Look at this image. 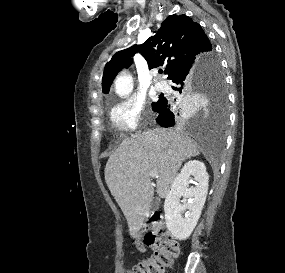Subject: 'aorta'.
I'll return each instance as SVG.
<instances>
[{
    "instance_id": "aorta-1",
    "label": "aorta",
    "mask_w": 285,
    "mask_h": 273,
    "mask_svg": "<svg viewBox=\"0 0 285 273\" xmlns=\"http://www.w3.org/2000/svg\"><path fill=\"white\" fill-rule=\"evenodd\" d=\"M116 92L122 97L128 95L133 89V78L131 75L123 73L116 79Z\"/></svg>"
}]
</instances>
